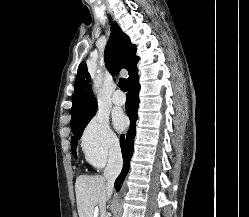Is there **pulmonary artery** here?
I'll use <instances>...</instances> for the list:
<instances>
[{
	"mask_svg": "<svg viewBox=\"0 0 249 217\" xmlns=\"http://www.w3.org/2000/svg\"><path fill=\"white\" fill-rule=\"evenodd\" d=\"M112 101L115 105L121 106L126 102V98L121 91H116L112 97Z\"/></svg>",
	"mask_w": 249,
	"mask_h": 217,
	"instance_id": "pulmonary-artery-1",
	"label": "pulmonary artery"
}]
</instances>
